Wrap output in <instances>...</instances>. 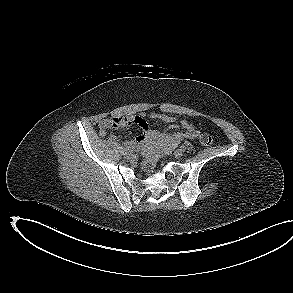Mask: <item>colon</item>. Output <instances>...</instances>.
<instances>
[{"mask_svg":"<svg viewBox=\"0 0 293 293\" xmlns=\"http://www.w3.org/2000/svg\"><path fill=\"white\" fill-rule=\"evenodd\" d=\"M199 140L201 144L204 146H211L213 143V138L208 133L201 134L199 137ZM174 148H175L174 144L166 143L161 146L150 149L147 153L146 158L144 159L142 163V170L144 171V173L149 174L153 170L156 162L161 157L171 153Z\"/></svg>","mask_w":293,"mask_h":293,"instance_id":"obj_1","label":"colon"}]
</instances>
